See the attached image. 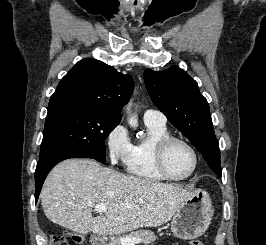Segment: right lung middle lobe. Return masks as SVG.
<instances>
[{
  "label": "right lung middle lobe",
  "instance_id": "right-lung-middle-lobe-1",
  "mask_svg": "<svg viewBox=\"0 0 266 245\" xmlns=\"http://www.w3.org/2000/svg\"><path fill=\"white\" fill-rule=\"evenodd\" d=\"M121 117L76 109L46 117L40 159L56 152H75L105 163V139Z\"/></svg>",
  "mask_w": 266,
  "mask_h": 245
}]
</instances>
